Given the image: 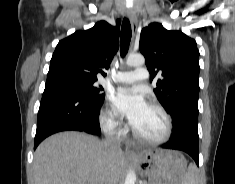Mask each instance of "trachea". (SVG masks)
Masks as SVG:
<instances>
[{
	"label": "trachea",
	"mask_w": 235,
	"mask_h": 184,
	"mask_svg": "<svg viewBox=\"0 0 235 184\" xmlns=\"http://www.w3.org/2000/svg\"><path fill=\"white\" fill-rule=\"evenodd\" d=\"M131 26L128 19L124 18L121 28V37H120V52L121 56H125L128 51L130 40H131Z\"/></svg>",
	"instance_id": "3493384b"
}]
</instances>
